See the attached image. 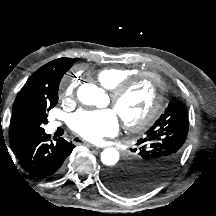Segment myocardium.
Here are the masks:
<instances>
[{
    "label": "myocardium",
    "instance_id": "obj_1",
    "mask_svg": "<svg viewBox=\"0 0 216 216\" xmlns=\"http://www.w3.org/2000/svg\"><path fill=\"white\" fill-rule=\"evenodd\" d=\"M144 78L151 79L155 86H156V94L154 101L152 102L148 112L145 116H143L140 119L129 121L121 117L122 122L125 126V128L129 130H142L149 126L153 120L155 119L156 115L159 113V111L162 108L163 101L165 98V91H166V85L162 77L153 71H145L137 73L121 83H119L115 88L111 90L110 98L113 107H117L119 104V101L121 98L133 87L135 86L139 81H141Z\"/></svg>",
    "mask_w": 216,
    "mask_h": 216
}]
</instances>
